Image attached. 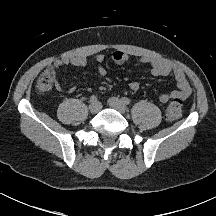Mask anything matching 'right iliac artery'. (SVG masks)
I'll return each instance as SVG.
<instances>
[{
    "mask_svg": "<svg viewBox=\"0 0 216 216\" xmlns=\"http://www.w3.org/2000/svg\"><path fill=\"white\" fill-rule=\"evenodd\" d=\"M90 102H91V103L97 102V96L92 95V96L90 97Z\"/></svg>",
    "mask_w": 216,
    "mask_h": 216,
    "instance_id": "obj_1",
    "label": "right iliac artery"
}]
</instances>
